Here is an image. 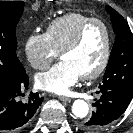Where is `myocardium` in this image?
I'll use <instances>...</instances> for the list:
<instances>
[{"label":"myocardium","instance_id":"f54148a6","mask_svg":"<svg viewBox=\"0 0 133 133\" xmlns=\"http://www.w3.org/2000/svg\"><path fill=\"white\" fill-rule=\"evenodd\" d=\"M94 24L100 25L105 32V47L99 65L92 72L82 75L81 78L83 80H93L98 78L108 66L112 49V33L109 25L105 21L98 18H91L85 21L74 34L72 39L60 51V55L62 57L65 53L75 49L82 41L87 29Z\"/></svg>","mask_w":133,"mask_h":133}]
</instances>
